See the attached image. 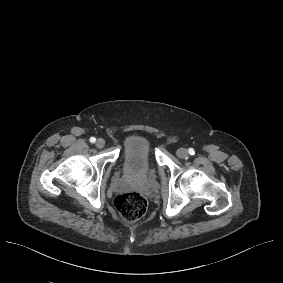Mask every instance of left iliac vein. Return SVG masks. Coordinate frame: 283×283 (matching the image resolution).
<instances>
[{
    "mask_svg": "<svg viewBox=\"0 0 283 283\" xmlns=\"http://www.w3.org/2000/svg\"><path fill=\"white\" fill-rule=\"evenodd\" d=\"M177 156L181 159H186L189 156V152L185 148H179L177 150Z\"/></svg>",
    "mask_w": 283,
    "mask_h": 283,
    "instance_id": "obj_1",
    "label": "left iliac vein"
}]
</instances>
